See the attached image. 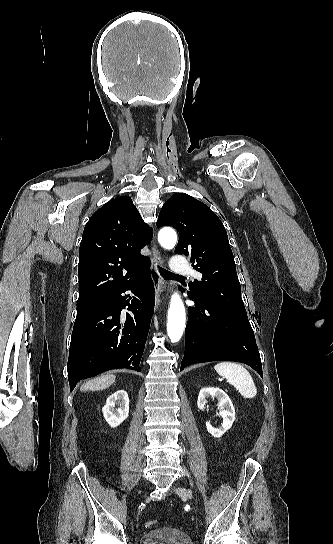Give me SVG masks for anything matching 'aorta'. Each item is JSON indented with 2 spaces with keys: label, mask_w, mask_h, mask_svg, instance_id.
Returning a JSON list of instances; mask_svg holds the SVG:
<instances>
[{
  "label": "aorta",
  "mask_w": 333,
  "mask_h": 544,
  "mask_svg": "<svg viewBox=\"0 0 333 544\" xmlns=\"http://www.w3.org/2000/svg\"><path fill=\"white\" fill-rule=\"evenodd\" d=\"M158 241L162 247L172 249L177 242L176 232L171 228H163L158 234ZM186 322L185 307L177 293L171 297L167 318V334L172 343L178 342L184 332Z\"/></svg>",
  "instance_id": "obj_1"
}]
</instances>
